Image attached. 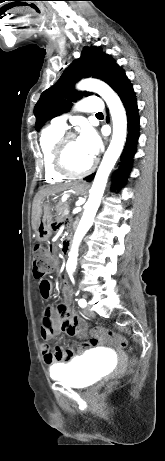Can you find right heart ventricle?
Instances as JSON below:
<instances>
[{"label":"right heart ventricle","mask_w":165,"mask_h":461,"mask_svg":"<svg viewBox=\"0 0 165 461\" xmlns=\"http://www.w3.org/2000/svg\"><path fill=\"white\" fill-rule=\"evenodd\" d=\"M63 133L64 130L50 125L42 131L39 139L45 179L49 183H57L65 179V176L58 173L52 164L53 147Z\"/></svg>","instance_id":"1"}]
</instances>
